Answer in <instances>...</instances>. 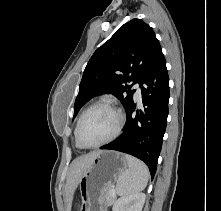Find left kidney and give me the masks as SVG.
<instances>
[{
  "instance_id": "1",
  "label": "left kidney",
  "mask_w": 221,
  "mask_h": 211,
  "mask_svg": "<svg viewBox=\"0 0 221 211\" xmlns=\"http://www.w3.org/2000/svg\"><path fill=\"white\" fill-rule=\"evenodd\" d=\"M145 198L144 193L123 196L114 203L113 211H142Z\"/></svg>"
}]
</instances>
